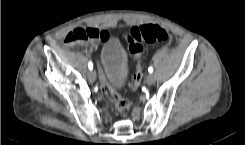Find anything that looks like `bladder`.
<instances>
[{"instance_id":"31cf9c89","label":"bladder","mask_w":245,"mask_h":145,"mask_svg":"<svg viewBox=\"0 0 245 145\" xmlns=\"http://www.w3.org/2000/svg\"><path fill=\"white\" fill-rule=\"evenodd\" d=\"M101 63L104 76L109 85L117 90L128 80V57L123 43L112 38L107 40L101 50Z\"/></svg>"}]
</instances>
